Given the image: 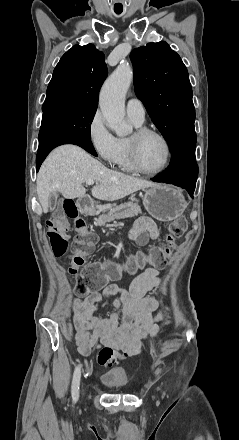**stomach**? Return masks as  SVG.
Masks as SVG:
<instances>
[{
  "label": "stomach",
  "mask_w": 239,
  "mask_h": 440,
  "mask_svg": "<svg viewBox=\"0 0 239 440\" xmlns=\"http://www.w3.org/2000/svg\"><path fill=\"white\" fill-rule=\"evenodd\" d=\"M143 204L150 216L159 222H172L182 216L187 208V202L181 190L170 188V186H158V188L146 190ZM86 210L91 214L95 212L93 204L87 206Z\"/></svg>",
  "instance_id": "1"
}]
</instances>
